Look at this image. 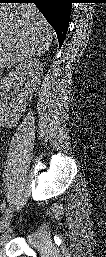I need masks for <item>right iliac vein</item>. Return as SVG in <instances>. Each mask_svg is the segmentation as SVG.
I'll return each instance as SVG.
<instances>
[{"label": "right iliac vein", "mask_w": 106, "mask_h": 257, "mask_svg": "<svg viewBox=\"0 0 106 257\" xmlns=\"http://www.w3.org/2000/svg\"><path fill=\"white\" fill-rule=\"evenodd\" d=\"M12 218V208H8L3 216V219L1 221V231H4L10 224Z\"/></svg>", "instance_id": "right-iliac-vein-1"}]
</instances>
